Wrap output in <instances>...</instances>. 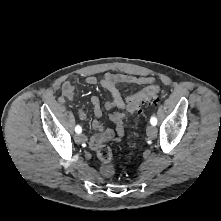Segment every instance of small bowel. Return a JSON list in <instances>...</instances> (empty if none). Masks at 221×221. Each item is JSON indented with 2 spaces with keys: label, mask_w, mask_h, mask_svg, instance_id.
Returning a JSON list of instances; mask_svg holds the SVG:
<instances>
[{
  "label": "small bowel",
  "mask_w": 221,
  "mask_h": 221,
  "mask_svg": "<svg viewBox=\"0 0 221 221\" xmlns=\"http://www.w3.org/2000/svg\"><path fill=\"white\" fill-rule=\"evenodd\" d=\"M88 85L100 84L109 94L110 100L104 104V109L107 111H112L110 113V120L116 126V133L112 129H104L101 122L98 120L102 116V108L100 106V101L97 96H92L90 99V104L93 108V113L96 117L92 122V128L96 133L91 137L89 146L91 149H98L102 143L111 141L113 139L119 140L124 136L125 126L124 120L126 118V103L117 87L118 84H136L142 85L149 83L151 80L142 76L128 75L124 73H106L100 80L95 76H87L85 79ZM76 84L72 80H67L64 82L61 90V95L59 97L60 102L64 103L71 99L76 92ZM79 117L81 120L85 121L87 115L83 109L79 110Z\"/></svg>",
  "instance_id": "c3829d8e"
}]
</instances>
